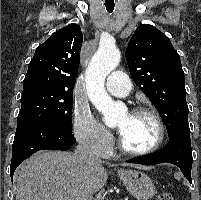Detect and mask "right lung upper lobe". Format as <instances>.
<instances>
[{"label":"right lung upper lobe","instance_id":"right-lung-upper-lobe-1","mask_svg":"<svg viewBox=\"0 0 201 200\" xmlns=\"http://www.w3.org/2000/svg\"><path fill=\"white\" fill-rule=\"evenodd\" d=\"M83 35L69 24L36 48L23 81V92L50 90L73 93Z\"/></svg>","mask_w":201,"mask_h":200}]
</instances>
